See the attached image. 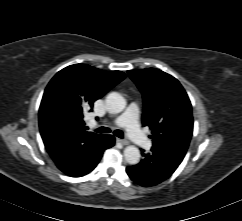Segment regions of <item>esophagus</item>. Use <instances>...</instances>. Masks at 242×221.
I'll use <instances>...</instances> for the list:
<instances>
[{
    "instance_id": "1",
    "label": "esophagus",
    "mask_w": 242,
    "mask_h": 221,
    "mask_svg": "<svg viewBox=\"0 0 242 221\" xmlns=\"http://www.w3.org/2000/svg\"><path fill=\"white\" fill-rule=\"evenodd\" d=\"M117 141L120 142L122 145H128L129 142L125 139L117 138Z\"/></svg>"
}]
</instances>
